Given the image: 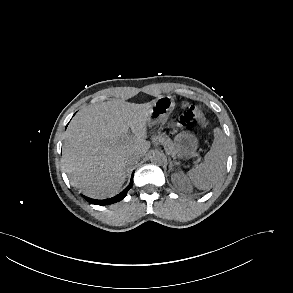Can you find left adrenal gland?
<instances>
[{
    "label": "left adrenal gland",
    "instance_id": "obj_1",
    "mask_svg": "<svg viewBox=\"0 0 293 293\" xmlns=\"http://www.w3.org/2000/svg\"><path fill=\"white\" fill-rule=\"evenodd\" d=\"M173 162L169 159V172L172 171Z\"/></svg>",
    "mask_w": 293,
    "mask_h": 293
}]
</instances>
